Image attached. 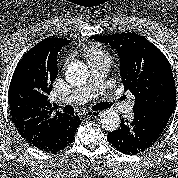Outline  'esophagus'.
I'll list each match as a JSON object with an SVG mask.
<instances>
[{"instance_id": "esophagus-1", "label": "esophagus", "mask_w": 178, "mask_h": 178, "mask_svg": "<svg viewBox=\"0 0 178 178\" xmlns=\"http://www.w3.org/2000/svg\"><path fill=\"white\" fill-rule=\"evenodd\" d=\"M81 116H85V117H97L100 115L99 111H94V112H84L80 114Z\"/></svg>"}]
</instances>
